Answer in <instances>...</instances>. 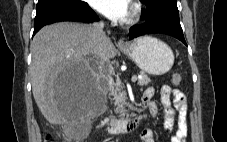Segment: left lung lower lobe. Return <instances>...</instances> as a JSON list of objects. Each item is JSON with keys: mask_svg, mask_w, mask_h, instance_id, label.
Masks as SVG:
<instances>
[{"mask_svg": "<svg viewBox=\"0 0 227 142\" xmlns=\"http://www.w3.org/2000/svg\"><path fill=\"white\" fill-rule=\"evenodd\" d=\"M151 33L170 35L187 45L183 36L179 16L160 11L154 12L146 17L144 24L131 27L129 37L131 40L138 36Z\"/></svg>", "mask_w": 227, "mask_h": 142, "instance_id": "0a47b994", "label": "left lung lower lobe"}]
</instances>
